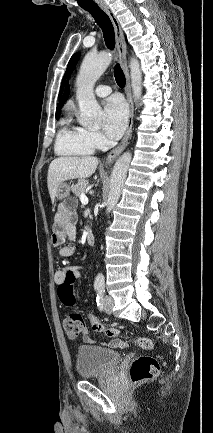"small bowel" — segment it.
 Wrapping results in <instances>:
<instances>
[{"instance_id": "small-bowel-1", "label": "small bowel", "mask_w": 213, "mask_h": 433, "mask_svg": "<svg viewBox=\"0 0 213 433\" xmlns=\"http://www.w3.org/2000/svg\"><path fill=\"white\" fill-rule=\"evenodd\" d=\"M76 215L71 210L70 204H61L58 208V211L54 218L53 224V233H52V243L54 246L59 247V255L63 258H68L74 255L76 248L73 242L76 239ZM66 240H69L71 244L65 245ZM78 266H64L60 270H58L54 275L55 283L58 287V290L64 285L66 274L69 271H72L77 278L79 276ZM90 318V314L88 315V319ZM83 340L86 343L92 344L94 343V339L89 335V331L87 328H83L82 330ZM105 346L112 348H122L125 346V343L119 339H113L108 342H103Z\"/></svg>"}]
</instances>
